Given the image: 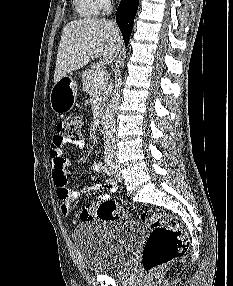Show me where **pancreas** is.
I'll list each match as a JSON object with an SVG mask.
<instances>
[{"label":"pancreas","mask_w":233,"mask_h":286,"mask_svg":"<svg viewBox=\"0 0 233 286\" xmlns=\"http://www.w3.org/2000/svg\"><path fill=\"white\" fill-rule=\"evenodd\" d=\"M98 69L92 67L87 69L82 73L83 89L90 96L97 90L99 96V105L102 106L106 100V89H107V80L104 79L102 82H95V76Z\"/></svg>","instance_id":"obj_1"}]
</instances>
